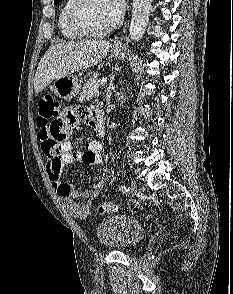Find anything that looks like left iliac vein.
Masks as SVG:
<instances>
[{"label": "left iliac vein", "mask_w": 233, "mask_h": 294, "mask_svg": "<svg viewBox=\"0 0 233 294\" xmlns=\"http://www.w3.org/2000/svg\"><path fill=\"white\" fill-rule=\"evenodd\" d=\"M131 192L135 198H140L142 194V189L138 188L136 184L132 181L131 183Z\"/></svg>", "instance_id": "left-iliac-vein-1"}]
</instances>
